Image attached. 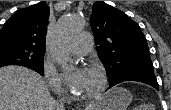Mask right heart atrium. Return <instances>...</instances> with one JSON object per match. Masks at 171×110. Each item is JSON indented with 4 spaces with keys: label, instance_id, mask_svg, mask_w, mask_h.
<instances>
[{
    "label": "right heart atrium",
    "instance_id": "d8ad5b80",
    "mask_svg": "<svg viewBox=\"0 0 171 110\" xmlns=\"http://www.w3.org/2000/svg\"><path fill=\"white\" fill-rule=\"evenodd\" d=\"M43 74L44 78L49 85L50 89L55 95L61 96L64 94L65 89L59 73L57 72L54 65L45 59L43 63Z\"/></svg>",
    "mask_w": 171,
    "mask_h": 110
}]
</instances>
